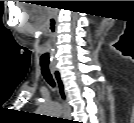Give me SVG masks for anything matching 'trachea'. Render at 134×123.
<instances>
[{
  "label": "trachea",
  "mask_w": 134,
  "mask_h": 123,
  "mask_svg": "<svg viewBox=\"0 0 134 123\" xmlns=\"http://www.w3.org/2000/svg\"><path fill=\"white\" fill-rule=\"evenodd\" d=\"M42 58L47 57V54H42L41 55ZM41 65V72L43 77L45 78V80L52 86L55 87V82L52 78V75L50 73V69H49V64L48 63H44V62H40Z\"/></svg>",
  "instance_id": "obj_1"
}]
</instances>
